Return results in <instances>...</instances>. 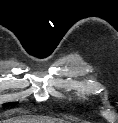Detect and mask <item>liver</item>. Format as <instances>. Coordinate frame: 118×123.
<instances>
[{
	"label": "liver",
	"instance_id": "6515ba94",
	"mask_svg": "<svg viewBox=\"0 0 118 123\" xmlns=\"http://www.w3.org/2000/svg\"><path fill=\"white\" fill-rule=\"evenodd\" d=\"M2 123H67V122L64 120L44 117L23 116L2 121Z\"/></svg>",
	"mask_w": 118,
	"mask_h": 123
}]
</instances>
